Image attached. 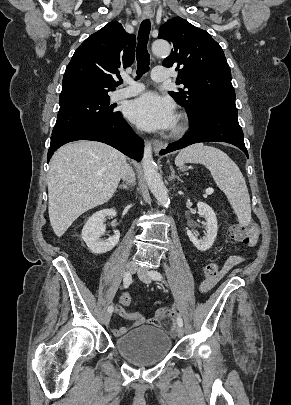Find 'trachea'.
I'll return each mask as SVG.
<instances>
[{"label":"trachea","instance_id":"3493384b","mask_svg":"<svg viewBox=\"0 0 291 405\" xmlns=\"http://www.w3.org/2000/svg\"><path fill=\"white\" fill-rule=\"evenodd\" d=\"M150 20L146 19L142 21L138 33V45L136 49V58H137V77H141L143 74H145L149 70V64H150V55L147 50V42L149 38V33H150ZM122 80L118 82V84H121Z\"/></svg>","mask_w":291,"mask_h":405}]
</instances>
